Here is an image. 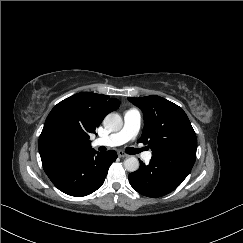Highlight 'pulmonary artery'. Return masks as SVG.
<instances>
[{"mask_svg":"<svg viewBox=\"0 0 243 243\" xmlns=\"http://www.w3.org/2000/svg\"><path fill=\"white\" fill-rule=\"evenodd\" d=\"M124 125L122 129L106 137L97 138L92 141V146H109L115 147L126 143L128 140L137 136L141 125V114L136 108L125 111L123 115ZM152 158V152L148 151L142 155V159L146 162Z\"/></svg>","mask_w":243,"mask_h":243,"instance_id":"e3ab8cb5","label":"pulmonary artery"}]
</instances>
